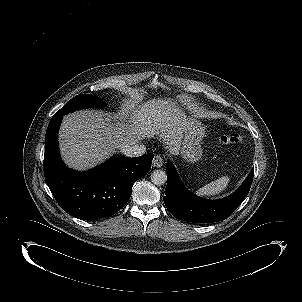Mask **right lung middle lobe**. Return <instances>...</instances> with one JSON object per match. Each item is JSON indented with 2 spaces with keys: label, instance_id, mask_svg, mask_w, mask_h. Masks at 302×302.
I'll return each mask as SVG.
<instances>
[{
  "label": "right lung middle lobe",
  "instance_id": "right-lung-middle-lobe-1",
  "mask_svg": "<svg viewBox=\"0 0 302 302\" xmlns=\"http://www.w3.org/2000/svg\"><path fill=\"white\" fill-rule=\"evenodd\" d=\"M104 105L102 98H96L91 94H81L69 100L52 118L64 116L72 111L97 106L101 107Z\"/></svg>",
  "mask_w": 302,
  "mask_h": 302
}]
</instances>
